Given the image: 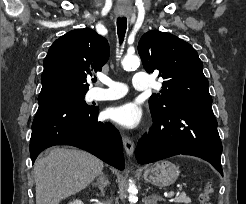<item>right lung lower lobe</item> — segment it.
I'll list each match as a JSON object with an SVG mask.
<instances>
[{"label": "right lung lower lobe", "instance_id": "right-lung-lower-lobe-1", "mask_svg": "<svg viewBox=\"0 0 246 204\" xmlns=\"http://www.w3.org/2000/svg\"><path fill=\"white\" fill-rule=\"evenodd\" d=\"M84 102L73 96L39 101L30 141L33 163L39 153L48 147L71 145L92 153L119 170L124 169L119 132L109 123L98 122L99 109Z\"/></svg>", "mask_w": 246, "mask_h": 204}]
</instances>
